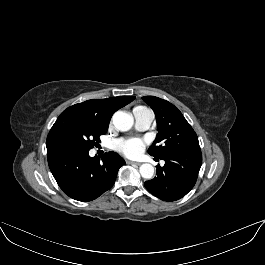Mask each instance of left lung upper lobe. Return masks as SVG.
<instances>
[{
    "mask_svg": "<svg viewBox=\"0 0 265 265\" xmlns=\"http://www.w3.org/2000/svg\"><path fill=\"white\" fill-rule=\"evenodd\" d=\"M142 99L152 108L157 121L158 134L148 149L151 156L162 158L170 152L200 148L195 131L177 107L155 96Z\"/></svg>",
    "mask_w": 265,
    "mask_h": 265,
    "instance_id": "left-lung-upper-lobe-1",
    "label": "left lung upper lobe"
}]
</instances>
